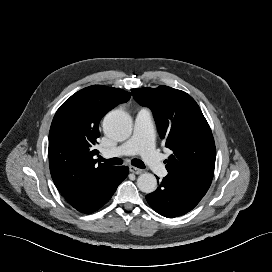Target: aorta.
I'll list each match as a JSON object with an SVG mask.
<instances>
[{"label": "aorta", "instance_id": "aorta-1", "mask_svg": "<svg viewBox=\"0 0 272 272\" xmlns=\"http://www.w3.org/2000/svg\"><path fill=\"white\" fill-rule=\"evenodd\" d=\"M103 131L113 140H126L132 131V121L130 116L121 110L110 111L104 117ZM137 187L144 193H152L157 188V179L151 173H143L137 179Z\"/></svg>", "mask_w": 272, "mask_h": 272}]
</instances>
